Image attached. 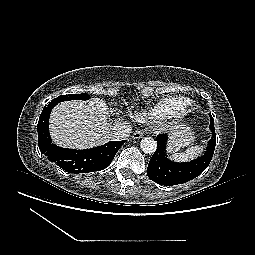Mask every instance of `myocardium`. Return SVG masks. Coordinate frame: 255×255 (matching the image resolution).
Wrapping results in <instances>:
<instances>
[{
    "instance_id": "1",
    "label": "myocardium",
    "mask_w": 255,
    "mask_h": 255,
    "mask_svg": "<svg viewBox=\"0 0 255 255\" xmlns=\"http://www.w3.org/2000/svg\"><path fill=\"white\" fill-rule=\"evenodd\" d=\"M185 114L186 108H174L171 112L170 118L167 119L181 120L182 118H184Z\"/></svg>"
}]
</instances>
